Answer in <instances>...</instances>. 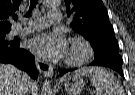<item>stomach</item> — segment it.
Listing matches in <instances>:
<instances>
[{
    "mask_svg": "<svg viewBox=\"0 0 135 95\" xmlns=\"http://www.w3.org/2000/svg\"><path fill=\"white\" fill-rule=\"evenodd\" d=\"M85 86V82L80 75L72 74L64 79V88L69 95H80Z\"/></svg>",
    "mask_w": 135,
    "mask_h": 95,
    "instance_id": "obj_1",
    "label": "stomach"
}]
</instances>
